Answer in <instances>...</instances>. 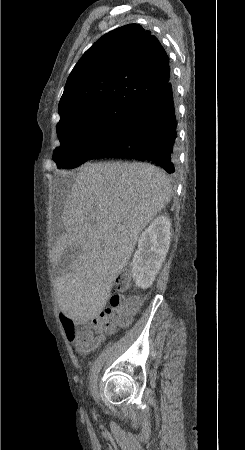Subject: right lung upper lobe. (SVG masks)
Listing matches in <instances>:
<instances>
[{
  "label": "right lung upper lobe",
  "mask_w": 245,
  "mask_h": 450,
  "mask_svg": "<svg viewBox=\"0 0 245 450\" xmlns=\"http://www.w3.org/2000/svg\"><path fill=\"white\" fill-rule=\"evenodd\" d=\"M169 80V58L158 39L128 24L102 36L80 58L67 79L59 114L101 104L136 108Z\"/></svg>",
  "instance_id": "cb5924a9"
}]
</instances>
